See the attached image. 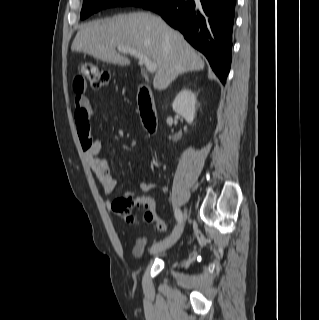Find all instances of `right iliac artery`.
Returning <instances> with one entry per match:
<instances>
[{"instance_id": "82829eb1", "label": "right iliac artery", "mask_w": 319, "mask_h": 320, "mask_svg": "<svg viewBox=\"0 0 319 320\" xmlns=\"http://www.w3.org/2000/svg\"><path fill=\"white\" fill-rule=\"evenodd\" d=\"M174 216H175L176 220H177L179 223L182 222L183 216H182V212H181L180 209H176V210H175Z\"/></svg>"}]
</instances>
